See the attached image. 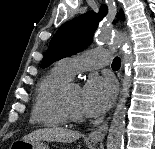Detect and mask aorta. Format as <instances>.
Instances as JSON below:
<instances>
[{"instance_id": "1", "label": "aorta", "mask_w": 155, "mask_h": 149, "mask_svg": "<svg viewBox=\"0 0 155 149\" xmlns=\"http://www.w3.org/2000/svg\"><path fill=\"white\" fill-rule=\"evenodd\" d=\"M96 40L102 44H123L124 54L122 60L125 65V76L122 79V96L114 111L106 144L107 149H123L126 127V102L132 85L131 66L134 62V56L129 50L128 44L120 36L113 33L111 29L101 30Z\"/></svg>"}]
</instances>
